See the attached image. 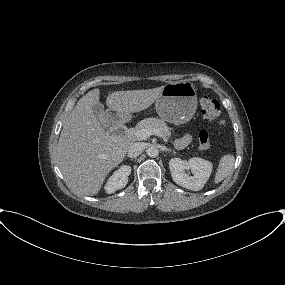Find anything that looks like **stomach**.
Returning <instances> with one entry per match:
<instances>
[{"instance_id":"1","label":"stomach","mask_w":285,"mask_h":285,"mask_svg":"<svg viewBox=\"0 0 285 285\" xmlns=\"http://www.w3.org/2000/svg\"><path fill=\"white\" fill-rule=\"evenodd\" d=\"M196 108V89L189 81L166 84L155 102V109L160 118L174 124L188 122L195 114Z\"/></svg>"}]
</instances>
